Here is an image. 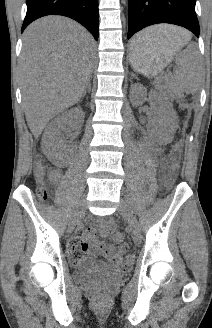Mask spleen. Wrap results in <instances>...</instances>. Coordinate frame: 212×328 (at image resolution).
<instances>
[{
    "instance_id": "spleen-1",
    "label": "spleen",
    "mask_w": 212,
    "mask_h": 328,
    "mask_svg": "<svg viewBox=\"0 0 212 328\" xmlns=\"http://www.w3.org/2000/svg\"><path fill=\"white\" fill-rule=\"evenodd\" d=\"M162 32L168 34L170 39H178V35L170 31L164 26H154L147 28L134 37V41L140 43V48L135 50H142L150 46L162 44ZM178 70L172 75V82L174 87L182 92L194 93L198 90L201 82V73L198 60V50L195 43L179 53L176 57Z\"/></svg>"
}]
</instances>
